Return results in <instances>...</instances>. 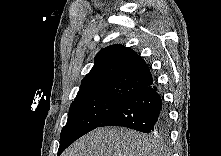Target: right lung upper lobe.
Instances as JSON below:
<instances>
[{"label":"right lung upper lobe","instance_id":"right-lung-upper-lobe-1","mask_svg":"<svg viewBox=\"0 0 221 156\" xmlns=\"http://www.w3.org/2000/svg\"><path fill=\"white\" fill-rule=\"evenodd\" d=\"M152 84L146 62L132 49L116 44L97 53L75 99L101 95L128 99Z\"/></svg>","mask_w":221,"mask_h":156}]
</instances>
